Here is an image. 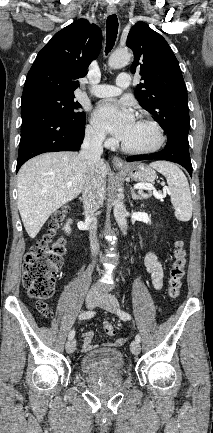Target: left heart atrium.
I'll use <instances>...</instances> for the list:
<instances>
[{
  "label": "left heart atrium",
  "mask_w": 213,
  "mask_h": 433,
  "mask_svg": "<svg viewBox=\"0 0 213 433\" xmlns=\"http://www.w3.org/2000/svg\"><path fill=\"white\" fill-rule=\"evenodd\" d=\"M93 122L123 140L134 125L135 118L126 102L105 101L95 110Z\"/></svg>",
  "instance_id": "39dd6f15"
}]
</instances>
